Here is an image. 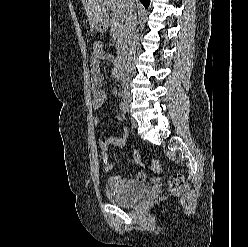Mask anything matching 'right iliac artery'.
<instances>
[{
    "label": "right iliac artery",
    "instance_id": "1",
    "mask_svg": "<svg viewBox=\"0 0 248 247\" xmlns=\"http://www.w3.org/2000/svg\"><path fill=\"white\" fill-rule=\"evenodd\" d=\"M119 107H120V110L122 111L123 116H125L128 111L125 103L121 101L119 104Z\"/></svg>",
    "mask_w": 248,
    "mask_h": 247
}]
</instances>
